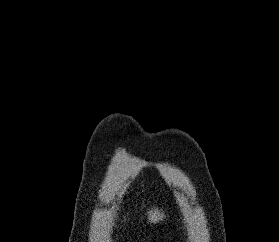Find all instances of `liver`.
I'll return each instance as SVG.
<instances>
[{"instance_id": "6515ba94", "label": "liver", "mask_w": 279, "mask_h": 242, "mask_svg": "<svg viewBox=\"0 0 279 242\" xmlns=\"http://www.w3.org/2000/svg\"><path fill=\"white\" fill-rule=\"evenodd\" d=\"M148 214H149L148 217L149 221L153 223L159 222V220H162L164 217L163 213H160L158 209H155L154 211L151 210L148 212Z\"/></svg>"}]
</instances>
